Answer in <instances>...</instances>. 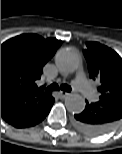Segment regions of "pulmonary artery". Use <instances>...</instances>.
I'll list each match as a JSON object with an SVG mask.
<instances>
[{"label":"pulmonary artery","mask_w":122,"mask_h":154,"mask_svg":"<svg viewBox=\"0 0 122 154\" xmlns=\"http://www.w3.org/2000/svg\"><path fill=\"white\" fill-rule=\"evenodd\" d=\"M73 84L80 91L83 97L88 99L93 97L94 91L92 87L88 84L83 73L78 72L76 74Z\"/></svg>","instance_id":"obj_1"}]
</instances>
